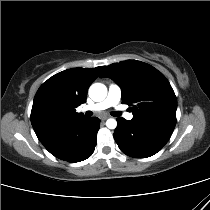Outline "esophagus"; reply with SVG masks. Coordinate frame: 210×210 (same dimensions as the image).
Returning <instances> with one entry per match:
<instances>
[{
	"instance_id": "1",
	"label": "esophagus",
	"mask_w": 210,
	"mask_h": 210,
	"mask_svg": "<svg viewBox=\"0 0 210 210\" xmlns=\"http://www.w3.org/2000/svg\"><path fill=\"white\" fill-rule=\"evenodd\" d=\"M109 118V116H107V115H103V116H101V120H106V119H108Z\"/></svg>"
}]
</instances>
